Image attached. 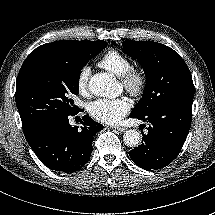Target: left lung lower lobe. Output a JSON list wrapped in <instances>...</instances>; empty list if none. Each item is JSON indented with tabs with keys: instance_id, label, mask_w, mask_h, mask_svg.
<instances>
[{
	"instance_id": "1",
	"label": "left lung lower lobe",
	"mask_w": 215,
	"mask_h": 215,
	"mask_svg": "<svg viewBox=\"0 0 215 215\" xmlns=\"http://www.w3.org/2000/svg\"><path fill=\"white\" fill-rule=\"evenodd\" d=\"M192 102H176L161 106L146 116H130L150 123L142 144L130 151L136 165L145 170L161 169L177 157L191 126Z\"/></svg>"
}]
</instances>
